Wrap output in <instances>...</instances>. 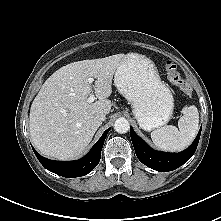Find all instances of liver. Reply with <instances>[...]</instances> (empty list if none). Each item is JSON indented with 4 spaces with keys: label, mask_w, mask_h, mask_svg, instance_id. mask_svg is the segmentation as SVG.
<instances>
[{
    "label": "liver",
    "mask_w": 221,
    "mask_h": 221,
    "mask_svg": "<svg viewBox=\"0 0 221 221\" xmlns=\"http://www.w3.org/2000/svg\"><path fill=\"white\" fill-rule=\"evenodd\" d=\"M77 61L55 71L42 85L30 108L29 130L32 143L46 157L70 160L79 156L101 126L98 115L109 114L113 75L124 58ZM95 78L98 101L87 103Z\"/></svg>",
    "instance_id": "1"
}]
</instances>
